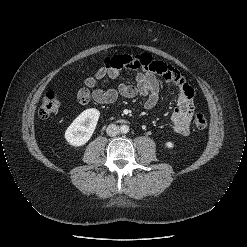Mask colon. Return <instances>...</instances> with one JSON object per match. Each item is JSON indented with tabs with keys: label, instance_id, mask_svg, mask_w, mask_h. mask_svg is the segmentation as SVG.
Instances as JSON below:
<instances>
[{
	"label": "colon",
	"instance_id": "1",
	"mask_svg": "<svg viewBox=\"0 0 247 247\" xmlns=\"http://www.w3.org/2000/svg\"><path fill=\"white\" fill-rule=\"evenodd\" d=\"M61 103L54 91H47L43 95L41 106L39 109V115L42 118H49L58 113ZM208 122L203 113H196L194 116V125L197 129L206 128Z\"/></svg>",
	"mask_w": 247,
	"mask_h": 247
}]
</instances>
